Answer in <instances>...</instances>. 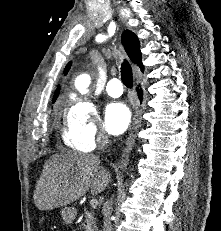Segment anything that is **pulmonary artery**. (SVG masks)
Here are the masks:
<instances>
[{"mask_svg":"<svg viewBox=\"0 0 221 231\" xmlns=\"http://www.w3.org/2000/svg\"><path fill=\"white\" fill-rule=\"evenodd\" d=\"M106 92L109 96L117 98L123 93V86L118 78L111 79L106 86Z\"/></svg>","mask_w":221,"mask_h":231,"instance_id":"pulmonary-artery-1","label":"pulmonary artery"}]
</instances>
